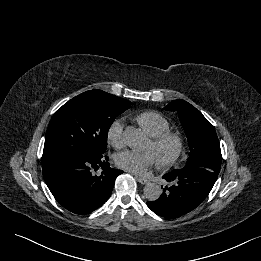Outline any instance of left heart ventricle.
Segmentation results:
<instances>
[{
  "mask_svg": "<svg viewBox=\"0 0 261 261\" xmlns=\"http://www.w3.org/2000/svg\"><path fill=\"white\" fill-rule=\"evenodd\" d=\"M146 150L152 151L155 154L156 159L158 161L159 159L168 156L172 151V147L168 146L163 149H156L153 147L151 142H148V144L146 146Z\"/></svg>",
  "mask_w": 261,
  "mask_h": 261,
  "instance_id": "1",
  "label": "left heart ventricle"
}]
</instances>
